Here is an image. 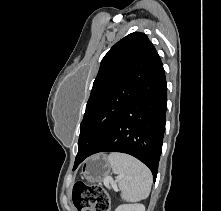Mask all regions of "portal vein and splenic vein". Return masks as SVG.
I'll return each instance as SVG.
<instances>
[{
  "label": "portal vein and splenic vein",
  "mask_w": 221,
  "mask_h": 211,
  "mask_svg": "<svg viewBox=\"0 0 221 211\" xmlns=\"http://www.w3.org/2000/svg\"><path fill=\"white\" fill-rule=\"evenodd\" d=\"M105 184H106L107 186H109V182H108L107 180L105 181Z\"/></svg>",
  "instance_id": "18ae733b"
}]
</instances>
